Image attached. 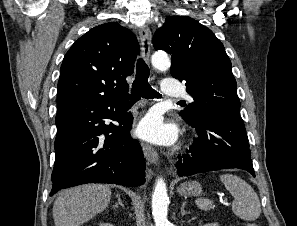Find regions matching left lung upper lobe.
I'll return each mask as SVG.
<instances>
[{
  "mask_svg": "<svg viewBox=\"0 0 297 226\" xmlns=\"http://www.w3.org/2000/svg\"><path fill=\"white\" fill-rule=\"evenodd\" d=\"M153 45L172 54L171 75L186 81L193 96L194 102L180 112L186 122L217 114L241 117L231 61L210 29L187 16L167 17Z\"/></svg>",
  "mask_w": 297,
  "mask_h": 226,
  "instance_id": "obj_1",
  "label": "left lung upper lobe"
}]
</instances>
